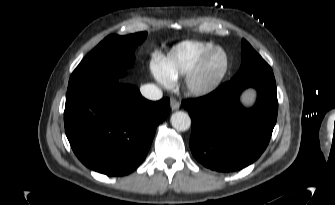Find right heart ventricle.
<instances>
[{
	"instance_id": "1",
	"label": "right heart ventricle",
	"mask_w": 335,
	"mask_h": 205,
	"mask_svg": "<svg viewBox=\"0 0 335 205\" xmlns=\"http://www.w3.org/2000/svg\"><path fill=\"white\" fill-rule=\"evenodd\" d=\"M215 47L212 42L186 40L175 45L163 59L164 68L174 79L187 75L207 51Z\"/></svg>"
}]
</instances>
